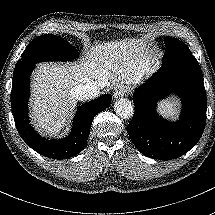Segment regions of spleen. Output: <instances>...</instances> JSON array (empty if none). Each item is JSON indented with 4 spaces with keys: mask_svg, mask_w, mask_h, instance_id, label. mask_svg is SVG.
<instances>
[{
    "mask_svg": "<svg viewBox=\"0 0 215 215\" xmlns=\"http://www.w3.org/2000/svg\"><path fill=\"white\" fill-rule=\"evenodd\" d=\"M162 111L165 113H169L172 116H176V107L173 106L171 103L163 104Z\"/></svg>",
    "mask_w": 215,
    "mask_h": 215,
    "instance_id": "1",
    "label": "spleen"
}]
</instances>
